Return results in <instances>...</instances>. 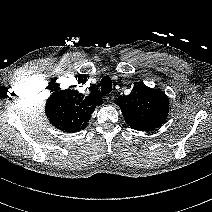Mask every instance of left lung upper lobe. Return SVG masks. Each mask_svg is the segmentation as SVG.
Returning a JSON list of instances; mask_svg holds the SVG:
<instances>
[{"label":"left lung upper lobe","instance_id":"5c2ea615","mask_svg":"<svg viewBox=\"0 0 212 212\" xmlns=\"http://www.w3.org/2000/svg\"><path fill=\"white\" fill-rule=\"evenodd\" d=\"M117 104L126 123L133 129L150 132L162 126L169 111V100L162 91L137 85Z\"/></svg>","mask_w":212,"mask_h":212}]
</instances>
